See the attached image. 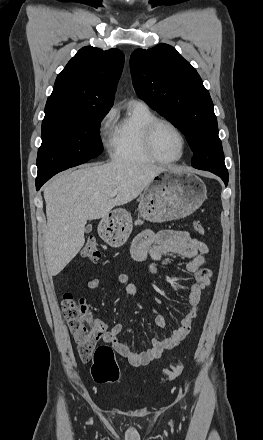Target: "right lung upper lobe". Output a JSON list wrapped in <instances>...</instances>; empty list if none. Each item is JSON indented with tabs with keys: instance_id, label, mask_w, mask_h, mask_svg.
<instances>
[{
	"instance_id": "1",
	"label": "right lung upper lobe",
	"mask_w": 263,
	"mask_h": 440,
	"mask_svg": "<svg viewBox=\"0 0 263 440\" xmlns=\"http://www.w3.org/2000/svg\"><path fill=\"white\" fill-rule=\"evenodd\" d=\"M123 65L124 54L118 49H80L57 76L45 115L109 111Z\"/></svg>"
}]
</instances>
